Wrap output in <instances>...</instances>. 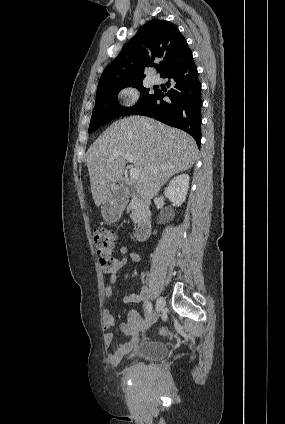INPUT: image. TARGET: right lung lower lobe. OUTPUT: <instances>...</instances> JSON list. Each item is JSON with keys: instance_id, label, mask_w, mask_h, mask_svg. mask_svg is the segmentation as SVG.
Instances as JSON below:
<instances>
[{"instance_id": "1", "label": "right lung lower lobe", "mask_w": 285, "mask_h": 424, "mask_svg": "<svg viewBox=\"0 0 285 424\" xmlns=\"http://www.w3.org/2000/svg\"><path fill=\"white\" fill-rule=\"evenodd\" d=\"M170 79L168 93L156 91L144 105L129 114L144 115L189 133L200 147L201 141V83L193 57L163 76ZM169 97L168 101L163 98Z\"/></svg>"}]
</instances>
